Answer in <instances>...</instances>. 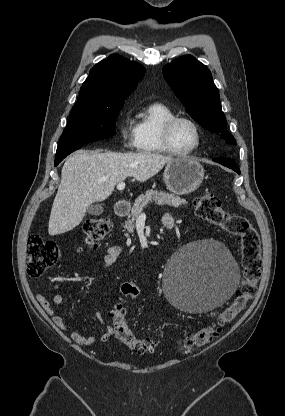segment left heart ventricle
I'll list each match as a JSON object with an SVG mask.
<instances>
[{
  "label": "left heart ventricle",
  "mask_w": 285,
  "mask_h": 416,
  "mask_svg": "<svg viewBox=\"0 0 285 416\" xmlns=\"http://www.w3.org/2000/svg\"><path fill=\"white\" fill-rule=\"evenodd\" d=\"M171 139L174 147L181 151L193 148L197 141L196 132L193 126L184 120L178 121L174 125Z\"/></svg>",
  "instance_id": "b2bd125f"
}]
</instances>
